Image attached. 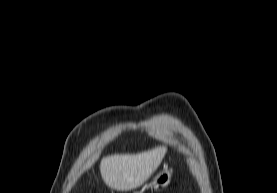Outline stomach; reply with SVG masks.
<instances>
[{
	"label": "stomach",
	"instance_id": "stomach-1",
	"mask_svg": "<svg viewBox=\"0 0 277 193\" xmlns=\"http://www.w3.org/2000/svg\"><path fill=\"white\" fill-rule=\"evenodd\" d=\"M172 173V168H168V166L165 165L152 179L150 186L157 190L165 189L170 184Z\"/></svg>",
	"mask_w": 277,
	"mask_h": 193
}]
</instances>
